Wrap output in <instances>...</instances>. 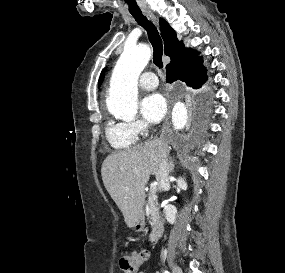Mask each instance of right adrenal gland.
<instances>
[{"label":"right adrenal gland","instance_id":"right-adrenal-gland-1","mask_svg":"<svg viewBox=\"0 0 285 273\" xmlns=\"http://www.w3.org/2000/svg\"><path fill=\"white\" fill-rule=\"evenodd\" d=\"M174 170V164H173V161L170 160V171L173 172Z\"/></svg>","mask_w":285,"mask_h":273}]
</instances>
